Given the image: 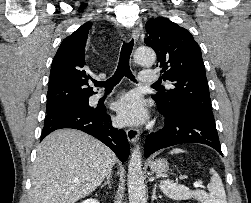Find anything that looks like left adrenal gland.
I'll list each match as a JSON object with an SVG mask.
<instances>
[{"label": "left adrenal gland", "instance_id": "obj_1", "mask_svg": "<svg viewBox=\"0 0 251 203\" xmlns=\"http://www.w3.org/2000/svg\"><path fill=\"white\" fill-rule=\"evenodd\" d=\"M156 185L154 186V189H153V193H152V196H151V200L154 201L155 199L157 198H161V196L157 197L156 196Z\"/></svg>", "mask_w": 251, "mask_h": 203}]
</instances>
